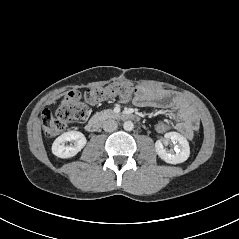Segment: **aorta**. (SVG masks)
Masks as SVG:
<instances>
[{"label": "aorta", "mask_w": 239, "mask_h": 239, "mask_svg": "<svg viewBox=\"0 0 239 239\" xmlns=\"http://www.w3.org/2000/svg\"><path fill=\"white\" fill-rule=\"evenodd\" d=\"M123 128H124L125 131H132L133 128H134V124L131 121H126L123 124Z\"/></svg>", "instance_id": "1"}]
</instances>
